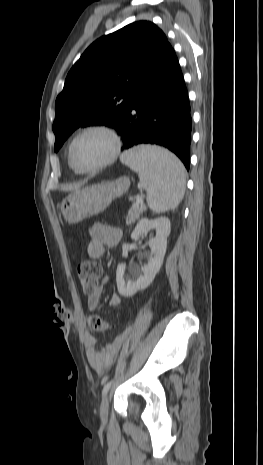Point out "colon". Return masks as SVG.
I'll use <instances>...</instances> for the list:
<instances>
[{"label": "colon", "instance_id": "obj_1", "mask_svg": "<svg viewBox=\"0 0 263 465\" xmlns=\"http://www.w3.org/2000/svg\"><path fill=\"white\" fill-rule=\"evenodd\" d=\"M77 275L83 291L90 295L98 290L102 269L96 262L90 260H83L79 263ZM88 327L92 331L105 332L111 328V325L104 321L96 314H91L87 318Z\"/></svg>", "mask_w": 263, "mask_h": 465}]
</instances>
